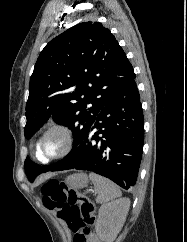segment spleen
<instances>
[{
  "label": "spleen",
  "mask_w": 187,
  "mask_h": 242,
  "mask_svg": "<svg viewBox=\"0 0 187 242\" xmlns=\"http://www.w3.org/2000/svg\"><path fill=\"white\" fill-rule=\"evenodd\" d=\"M89 177L94 184L97 203H106L121 196L119 187L109 179L95 173H90Z\"/></svg>",
  "instance_id": "spleen-1"
}]
</instances>
